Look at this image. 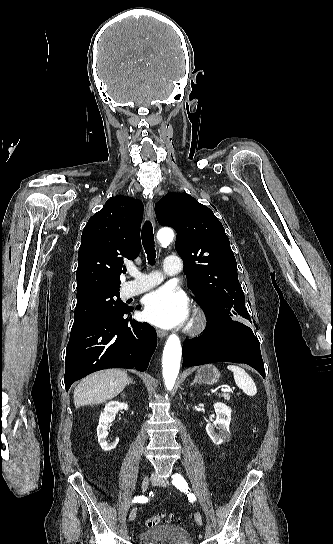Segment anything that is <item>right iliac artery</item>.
<instances>
[{"instance_id": "obj_1", "label": "right iliac artery", "mask_w": 333, "mask_h": 544, "mask_svg": "<svg viewBox=\"0 0 333 544\" xmlns=\"http://www.w3.org/2000/svg\"><path fill=\"white\" fill-rule=\"evenodd\" d=\"M147 501H148V498L145 496H137L132 500L133 503L147 502Z\"/></svg>"}]
</instances>
